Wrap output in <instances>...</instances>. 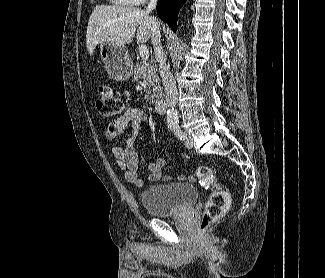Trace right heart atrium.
<instances>
[{
  "label": "right heart atrium",
  "instance_id": "right-heart-atrium-1",
  "mask_svg": "<svg viewBox=\"0 0 325 278\" xmlns=\"http://www.w3.org/2000/svg\"><path fill=\"white\" fill-rule=\"evenodd\" d=\"M132 1H133L134 4L139 5V4L144 3L147 0H132Z\"/></svg>",
  "mask_w": 325,
  "mask_h": 278
}]
</instances>
